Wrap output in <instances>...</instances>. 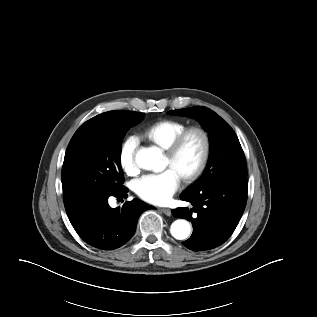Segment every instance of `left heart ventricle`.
<instances>
[{
	"label": "left heart ventricle",
	"instance_id": "left-heart-ventricle-1",
	"mask_svg": "<svg viewBox=\"0 0 317 317\" xmlns=\"http://www.w3.org/2000/svg\"><path fill=\"white\" fill-rule=\"evenodd\" d=\"M202 153V140L199 135L192 134L186 140L176 159L166 155L165 164L173 168L180 176L191 172L197 165Z\"/></svg>",
	"mask_w": 317,
	"mask_h": 317
}]
</instances>
